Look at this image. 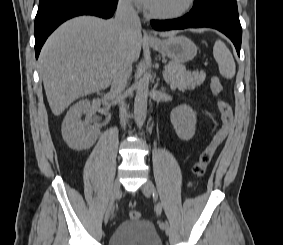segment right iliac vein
Listing matches in <instances>:
<instances>
[{"label":"right iliac vein","mask_w":283,"mask_h":245,"mask_svg":"<svg viewBox=\"0 0 283 245\" xmlns=\"http://www.w3.org/2000/svg\"><path fill=\"white\" fill-rule=\"evenodd\" d=\"M120 191H121L120 182L118 180H115L111 190L110 203L104 217L105 223H107L109 219L113 216V204L115 200L118 198Z\"/></svg>","instance_id":"63e3f726"}]
</instances>
